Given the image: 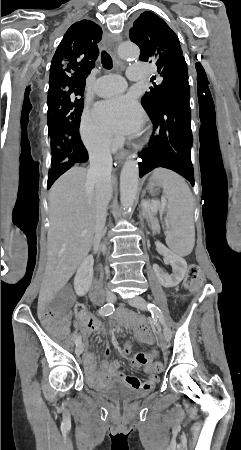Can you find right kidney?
Returning a JSON list of instances; mask_svg holds the SVG:
<instances>
[{"label": "right kidney", "mask_w": 241, "mask_h": 450, "mask_svg": "<svg viewBox=\"0 0 241 450\" xmlns=\"http://www.w3.org/2000/svg\"><path fill=\"white\" fill-rule=\"evenodd\" d=\"M93 256H87L80 264L74 278V288L77 296H85L93 280Z\"/></svg>", "instance_id": "right-kidney-1"}]
</instances>
